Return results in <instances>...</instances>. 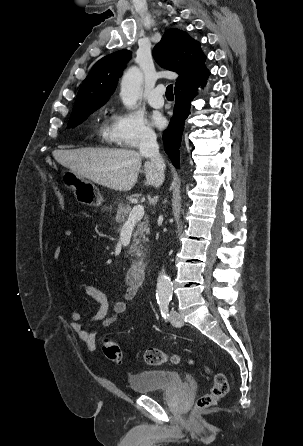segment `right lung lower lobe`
Returning a JSON list of instances; mask_svg holds the SVG:
<instances>
[{"instance_id": "obj_1", "label": "right lung lower lobe", "mask_w": 303, "mask_h": 446, "mask_svg": "<svg viewBox=\"0 0 303 446\" xmlns=\"http://www.w3.org/2000/svg\"><path fill=\"white\" fill-rule=\"evenodd\" d=\"M209 74L175 90L176 102L173 117L168 129L163 134V142L166 153L170 156L173 165L179 167V146L185 124L189 115L190 104L197 94V87L206 84Z\"/></svg>"}]
</instances>
